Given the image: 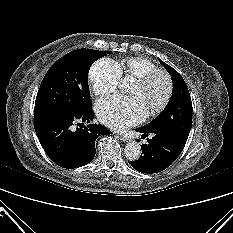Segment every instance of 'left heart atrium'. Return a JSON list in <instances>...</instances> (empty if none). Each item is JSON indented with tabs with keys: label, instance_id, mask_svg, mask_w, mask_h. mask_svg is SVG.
<instances>
[{
	"label": "left heart atrium",
	"instance_id": "left-heart-atrium-1",
	"mask_svg": "<svg viewBox=\"0 0 233 233\" xmlns=\"http://www.w3.org/2000/svg\"><path fill=\"white\" fill-rule=\"evenodd\" d=\"M99 120L108 127L124 129L143 120L146 110L136 96H114L96 104Z\"/></svg>",
	"mask_w": 233,
	"mask_h": 233
}]
</instances>
